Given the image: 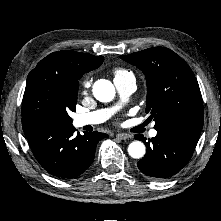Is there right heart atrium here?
Wrapping results in <instances>:
<instances>
[{
	"instance_id": "right-heart-atrium-1",
	"label": "right heart atrium",
	"mask_w": 221,
	"mask_h": 221,
	"mask_svg": "<svg viewBox=\"0 0 221 221\" xmlns=\"http://www.w3.org/2000/svg\"><path fill=\"white\" fill-rule=\"evenodd\" d=\"M91 85V79L89 77H86L81 82V89L83 93H86Z\"/></svg>"
}]
</instances>
